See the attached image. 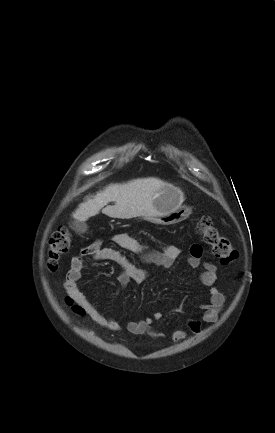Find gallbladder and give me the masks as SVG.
<instances>
[{
  "mask_svg": "<svg viewBox=\"0 0 275 433\" xmlns=\"http://www.w3.org/2000/svg\"><path fill=\"white\" fill-rule=\"evenodd\" d=\"M73 228L75 230H77L78 232H80V233H84L87 230L86 224L84 222H80V221H77V220H75L73 222Z\"/></svg>",
  "mask_w": 275,
  "mask_h": 433,
  "instance_id": "obj_1",
  "label": "gallbladder"
}]
</instances>
